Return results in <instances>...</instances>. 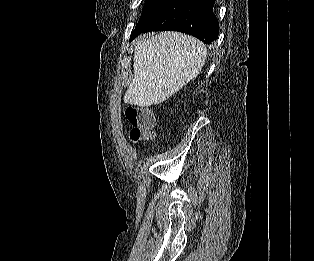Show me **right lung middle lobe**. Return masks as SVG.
Listing matches in <instances>:
<instances>
[{
    "instance_id": "1",
    "label": "right lung middle lobe",
    "mask_w": 314,
    "mask_h": 261,
    "mask_svg": "<svg viewBox=\"0 0 314 261\" xmlns=\"http://www.w3.org/2000/svg\"><path fill=\"white\" fill-rule=\"evenodd\" d=\"M173 0H146L140 20L137 25L145 23L147 20L159 13L164 7Z\"/></svg>"
}]
</instances>
